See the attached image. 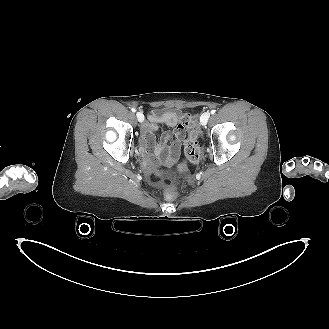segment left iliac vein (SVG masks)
Segmentation results:
<instances>
[{"instance_id": "4c4485c4", "label": "left iliac vein", "mask_w": 329, "mask_h": 329, "mask_svg": "<svg viewBox=\"0 0 329 329\" xmlns=\"http://www.w3.org/2000/svg\"><path fill=\"white\" fill-rule=\"evenodd\" d=\"M209 117H210V113L209 112H205L201 115L200 117V124L202 126H205L209 120Z\"/></svg>"}]
</instances>
